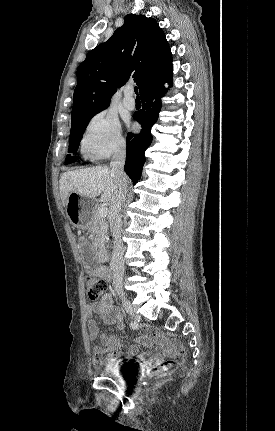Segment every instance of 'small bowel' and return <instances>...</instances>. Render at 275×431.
I'll return each mask as SVG.
<instances>
[{
	"label": "small bowel",
	"instance_id": "small-bowel-1",
	"mask_svg": "<svg viewBox=\"0 0 275 431\" xmlns=\"http://www.w3.org/2000/svg\"><path fill=\"white\" fill-rule=\"evenodd\" d=\"M81 257L88 269L93 274L101 279L109 280L110 274L108 270L96 263L90 243L84 239L80 241ZM88 319V335L91 340L98 339L99 343L93 348L92 360L95 364L113 363L117 362L123 356L119 350L121 346V338L116 334H100L96 320L97 317L103 324L112 325L116 324L118 329L124 333V325L122 322V313L113 303V296L110 292L105 293L98 302L88 304L87 306ZM142 330L144 334L136 339L135 343L128 348L127 356L138 355L141 362L145 366H149L152 360L146 353L138 354V345L146 349H151L153 345L159 346L163 351V357L157 358L155 363L157 367L166 365V370L178 362L184 355V349L177 341L169 340L161 335L157 329L143 325Z\"/></svg>",
	"mask_w": 275,
	"mask_h": 431
}]
</instances>
